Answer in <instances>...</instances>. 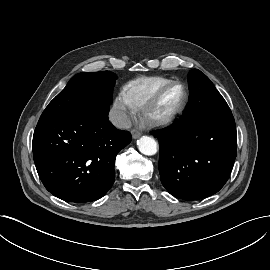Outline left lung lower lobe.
<instances>
[{"instance_id":"obj_1","label":"left lung lower lobe","mask_w":270,"mask_h":270,"mask_svg":"<svg viewBox=\"0 0 270 270\" xmlns=\"http://www.w3.org/2000/svg\"><path fill=\"white\" fill-rule=\"evenodd\" d=\"M151 133L160 142V178L171 195L197 200L217 193L227 182L237 153L233 117L204 120L188 103L180 120Z\"/></svg>"}]
</instances>
